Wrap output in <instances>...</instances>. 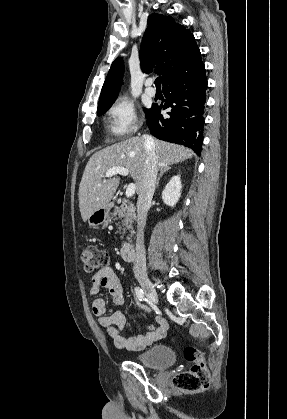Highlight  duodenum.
<instances>
[{"instance_id": "duodenum-1", "label": "duodenum", "mask_w": 287, "mask_h": 419, "mask_svg": "<svg viewBox=\"0 0 287 419\" xmlns=\"http://www.w3.org/2000/svg\"><path fill=\"white\" fill-rule=\"evenodd\" d=\"M121 257L124 261H133L136 258L135 247L131 243H125L120 250Z\"/></svg>"}]
</instances>
